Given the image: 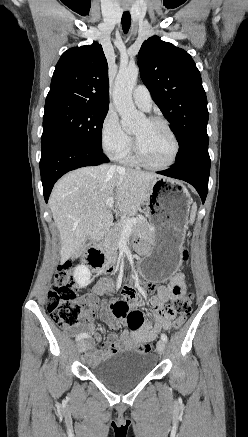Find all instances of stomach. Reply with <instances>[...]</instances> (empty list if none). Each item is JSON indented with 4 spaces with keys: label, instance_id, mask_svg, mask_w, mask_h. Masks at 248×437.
Returning a JSON list of instances; mask_svg holds the SVG:
<instances>
[{
    "label": "stomach",
    "instance_id": "1",
    "mask_svg": "<svg viewBox=\"0 0 248 437\" xmlns=\"http://www.w3.org/2000/svg\"><path fill=\"white\" fill-rule=\"evenodd\" d=\"M146 209L150 220L149 252L138 262L149 286H165L180 264L190 210V195L182 184L158 178L153 181Z\"/></svg>",
    "mask_w": 248,
    "mask_h": 437
}]
</instances>
